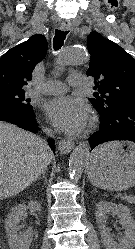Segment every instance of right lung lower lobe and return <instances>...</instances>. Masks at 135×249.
<instances>
[{
    "label": "right lung lower lobe",
    "mask_w": 135,
    "mask_h": 249,
    "mask_svg": "<svg viewBox=\"0 0 135 249\" xmlns=\"http://www.w3.org/2000/svg\"><path fill=\"white\" fill-rule=\"evenodd\" d=\"M0 121L11 122L35 133L39 130L33 109L27 110L9 102L0 101ZM54 142L53 139H48L51 149L55 152Z\"/></svg>",
    "instance_id": "98d812e1"
}]
</instances>
